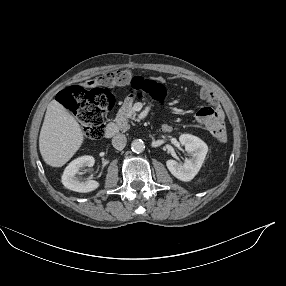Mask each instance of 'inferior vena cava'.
<instances>
[{
	"mask_svg": "<svg viewBox=\"0 0 286 286\" xmlns=\"http://www.w3.org/2000/svg\"><path fill=\"white\" fill-rule=\"evenodd\" d=\"M126 143H127V139L124 134L119 133V134H116L112 138V145L117 150L123 149L126 146Z\"/></svg>",
	"mask_w": 286,
	"mask_h": 286,
	"instance_id": "inferior-vena-cava-1",
	"label": "inferior vena cava"
}]
</instances>
